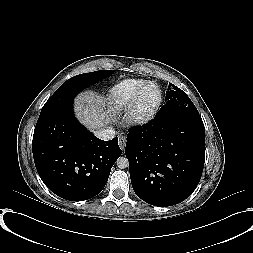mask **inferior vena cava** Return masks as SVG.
I'll list each match as a JSON object with an SVG mask.
<instances>
[{
    "mask_svg": "<svg viewBox=\"0 0 253 253\" xmlns=\"http://www.w3.org/2000/svg\"><path fill=\"white\" fill-rule=\"evenodd\" d=\"M97 138L108 141L115 137V130L111 127L102 128L95 132Z\"/></svg>",
    "mask_w": 253,
    "mask_h": 253,
    "instance_id": "602c4592",
    "label": "inferior vena cava"
}]
</instances>
